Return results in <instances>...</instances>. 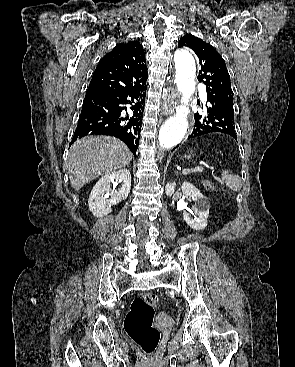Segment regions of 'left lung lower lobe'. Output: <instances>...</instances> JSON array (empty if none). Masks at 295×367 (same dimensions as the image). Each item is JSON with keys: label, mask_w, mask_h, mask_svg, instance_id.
Returning <instances> with one entry per match:
<instances>
[{"label": "left lung lower lobe", "mask_w": 295, "mask_h": 367, "mask_svg": "<svg viewBox=\"0 0 295 367\" xmlns=\"http://www.w3.org/2000/svg\"><path fill=\"white\" fill-rule=\"evenodd\" d=\"M208 102L209 104L206 106L205 114L196 113L194 115V129L188 138H195L212 132H220L237 139L233 106L224 102H214L211 100Z\"/></svg>", "instance_id": "0a47b994"}]
</instances>
